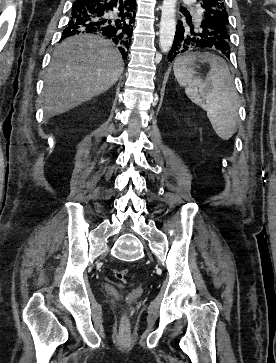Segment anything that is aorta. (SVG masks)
Wrapping results in <instances>:
<instances>
[{"label":"aorta","instance_id":"762f6f07","mask_svg":"<svg viewBox=\"0 0 276 363\" xmlns=\"http://www.w3.org/2000/svg\"><path fill=\"white\" fill-rule=\"evenodd\" d=\"M176 2L177 0H163L161 7L159 45L163 53H167L173 44L176 31Z\"/></svg>","mask_w":276,"mask_h":363}]
</instances>
